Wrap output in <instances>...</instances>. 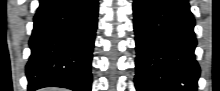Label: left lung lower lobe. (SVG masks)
<instances>
[{"label": "left lung lower lobe", "mask_w": 220, "mask_h": 91, "mask_svg": "<svg viewBox=\"0 0 220 91\" xmlns=\"http://www.w3.org/2000/svg\"><path fill=\"white\" fill-rule=\"evenodd\" d=\"M137 91H196L195 20L188 0H134Z\"/></svg>", "instance_id": "1"}]
</instances>
